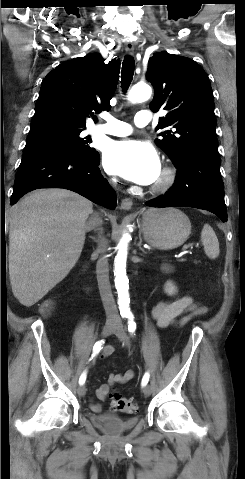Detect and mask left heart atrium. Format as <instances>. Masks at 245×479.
Here are the masks:
<instances>
[{"label": "left heart atrium", "mask_w": 245, "mask_h": 479, "mask_svg": "<svg viewBox=\"0 0 245 479\" xmlns=\"http://www.w3.org/2000/svg\"><path fill=\"white\" fill-rule=\"evenodd\" d=\"M103 164L107 171L142 185L155 182L161 171L156 150L138 140L109 143L104 150Z\"/></svg>", "instance_id": "39dd6f15"}]
</instances>
